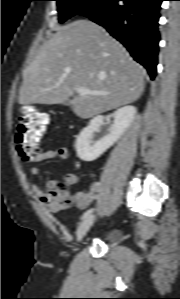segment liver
Returning a JSON list of instances; mask_svg holds the SVG:
<instances>
[{"label":"liver","mask_w":180,"mask_h":299,"mask_svg":"<svg viewBox=\"0 0 180 299\" xmlns=\"http://www.w3.org/2000/svg\"><path fill=\"white\" fill-rule=\"evenodd\" d=\"M79 87L109 94L75 95ZM144 87V70L126 49L96 23L78 20L44 43L23 75L18 102L69 100L73 112L87 119L136 101Z\"/></svg>","instance_id":"obj_1"}]
</instances>
